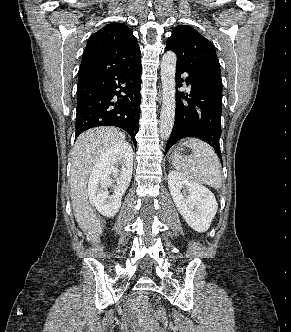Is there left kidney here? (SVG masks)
Listing matches in <instances>:
<instances>
[{
	"instance_id": "obj_1",
	"label": "left kidney",
	"mask_w": 291,
	"mask_h": 332,
	"mask_svg": "<svg viewBox=\"0 0 291 332\" xmlns=\"http://www.w3.org/2000/svg\"><path fill=\"white\" fill-rule=\"evenodd\" d=\"M168 187L187 224L197 232H205L218 209L214 194L205 186L191 182L175 171L168 174Z\"/></svg>"
}]
</instances>
